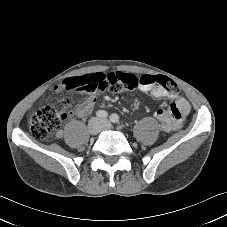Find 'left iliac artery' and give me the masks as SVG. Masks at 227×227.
Returning <instances> with one entry per match:
<instances>
[{
  "label": "left iliac artery",
  "instance_id": "1",
  "mask_svg": "<svg viewBox=\"0 0 227 227\" xmlns=\"http://www.w3.org/2000/svg\"><path fill=\"white\" fill-rule=\"evenodd\" d=\"M110 120L113 122V123H118L119 122V116L117 114H112L110 116Z\"/></svg>",
  "mask_w": 227,
  "mask_h": 227
}]
</instances>
